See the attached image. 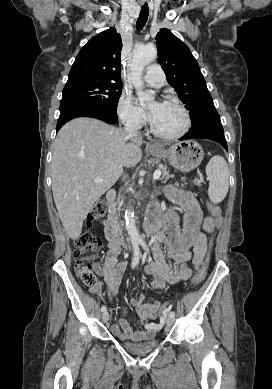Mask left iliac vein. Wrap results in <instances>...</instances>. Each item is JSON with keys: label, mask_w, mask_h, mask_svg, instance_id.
I'll use <instances>...</instances> for the list:
<instances>
[{"label": "left iliac vein", "mask_w": 272, "mask_h": 389, "mask_svg": "<svg viewBox=\"0 0 272 389\" xmlns=\"http://www.w3.org/2000/svg\"><path fill=\"white\" fill-rule=\"evenodd\" d=\"M173 323H174V317L169 316V317L166 318V325H167V327L172 326Z\"/></svg>", "instance_id": "obj_1"}]
</instances>
